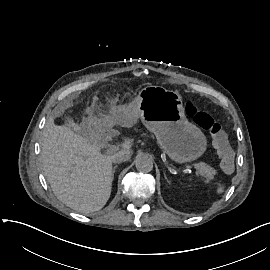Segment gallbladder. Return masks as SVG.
Instances as JSON below:
<instances>
[{"mask_svg":"<svg viewBox=\"0 0 270 270\" xmlns=\"http://www.w3.org/2000/svg\"><path fill=\"white\" fill-rule=\"evenodd\" d=\"M84 121L76 122L73 118L69 119L65 122V126L70 128L73 132L80 134V129L83 125Z\"/></svg>","mask_w":270,"mask_h":270,"instance_id":"obj_1","label":"gallbladder"}]
</instances>
